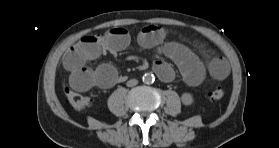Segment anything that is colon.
<instances>
[{"instance_id": "obj_1", "label": "colon", "mask_w": 279, "mask_h": 148, "mask_svg": "<svg viewBox=\"0 0 279 148\" xmlns=\"http://www.w3.org/2000/svg\"><path fill=\"white\" fill-rule=\"evenodd\" d=\"M225 91L223 88H215L208 93V99L211 101H218L223 98ZM66 95L72 107L77 111H84L90 105L89 97L80 93L74 92L70 89L66 90Z\"/></svg>"}]
</instances>
